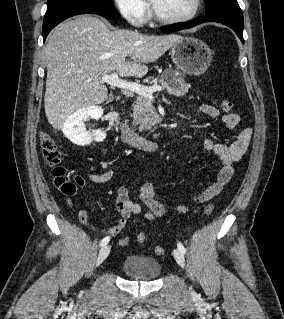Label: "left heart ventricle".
Wrapping results in <instances>:
<instances>
[{"label": "left heart ventricle", "instance_id": "b2bd125f", "mask_svg": "<svg viewBox=\"0 0 284 319\" xmlns=\"http://www.w3.org/2000/svg\"><path fill=\"white\" fill-rule=\"evenodd\" d=\"M154 8L163 16L182 17L189 14L194 0H150Z\"/></svg>", "mask_w": 284, "mask_h": 319}]
</instances>
